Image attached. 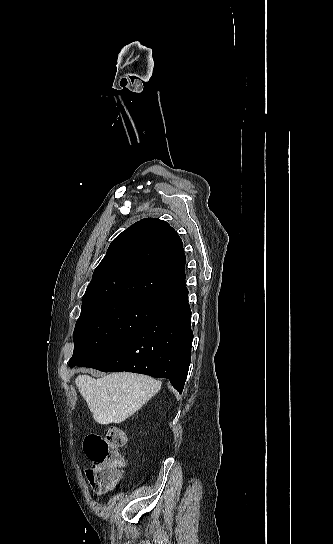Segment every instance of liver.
I'll return each instance as SVG.
<instances>
[{
  "label": "liver",
  "instance_id": "liver-1",
  "mask_svg": "<svg viewBox=\"0 0 333 544\" xmlns=\"http://www.w3.org/2000/svg\"><path fill=\"white\" fill-rule=\"evenodd\" d=\"M75 383L101 425L123 422L161 388L160 381L133 373H113L99 379L79 375Z\"/></svg>",
  "mask_w": 333,
  "mask_h": 544
}]
</instances>
